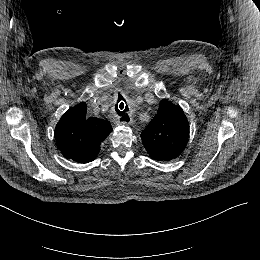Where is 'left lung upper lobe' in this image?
I'll return each mask as SVG.
<instances>
[{"mask_svg":"<svg viewBox=\"0 0 260 260\" xmlns=\"http://www.w3.org/2000/svg\"><path fill=\"white\" fill-rule=\"evenodd\" d=\"M189 136V124L183 110L170 101L160 102L156 116L141 133L149 156L158 161L177 159Z\"/></svg>","mask_w":260,"mask_h":260,"instance_id":"obj_1","label":"left lung upper lobe"}]
</instances>
